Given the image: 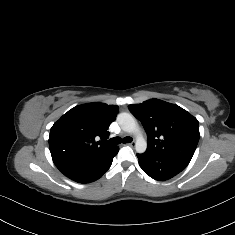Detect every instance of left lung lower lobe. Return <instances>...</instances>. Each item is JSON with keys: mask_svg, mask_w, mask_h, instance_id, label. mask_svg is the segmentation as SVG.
<instances>
[{"mask_svg": "<svg viewBox=\"0 0 235 235\" xmlns=\"http://www.w3.org/2000/svg\"><path fill=\"white\" fill-rule=\"evenodd\" d=\"M140 167L153 179L158 181L168 180L183 171L189 162L176 157L155 154L146 151L137 154Z\"/></svg>", "mask_w": 235, "mask_h": 235, "instance_id": "1", "label": "left lung lower lobe"}]
</instances>
